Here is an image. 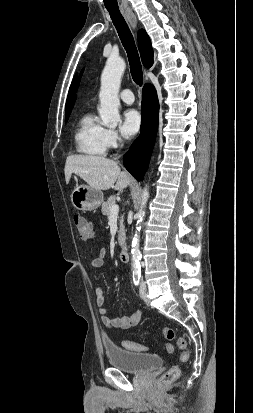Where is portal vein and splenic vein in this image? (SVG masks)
I'll return each instance as SVG.
<instances>
[{"label":"portal vein and splenic vein","mask_w":253,"mask_h":413,"mask_svg":"<svg viewBox=\"0 0 253 413\" xmlns=\"http://www.w3.org/2000/svg\"><path fill=\"white\" fill-rule=\"evenodd\" d=\"M119 212V206L118 205H114L111 207L110 209V215H117Z\"/></svg>","instance_id":"portal-vein-and-splenic-vein-1"}]
</instances>
